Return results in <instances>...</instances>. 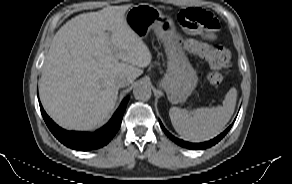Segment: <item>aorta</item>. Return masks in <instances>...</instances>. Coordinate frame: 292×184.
Wrapping results in <instances>:
<instances>
[{
    "instance_id": "aorta-1",
    "label": "aorta",
    "mask_w": 292,
    "mask_h": 184,
    "mask_svg": "<svg viewBox=\"0 0 292 184\" xmlns=\"http://www.w3.org/2000/svg\"><path fill=\"white\" fill-rule=\"evenodd\" d=\"M134 98L141 101H148L151 98V87L146 83H138L133 89Z\"/></svg>"
}]
</instances>
